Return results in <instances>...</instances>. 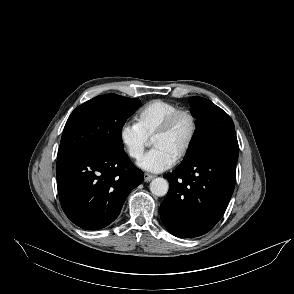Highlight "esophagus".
Wrapping results in <instances>:
<instances>
[{"label": "esophagus", "instance_id": "esophagus-1", "mask_svg": "<svg viewBox=\"0 0 294 294\" xmlns=\"http://www.w3.org/2000/svg\"><path fill=\"white\" fill-rule=\"evenodd\" d=\"M155 177H156L155 175H151V174L145 173V174H144V181H145V182H149V181H151L152 179H154Z\"/></svg>", "mask_w": 294, "mask_h": 294}]
</instances>
